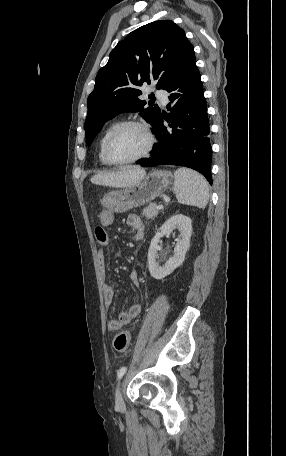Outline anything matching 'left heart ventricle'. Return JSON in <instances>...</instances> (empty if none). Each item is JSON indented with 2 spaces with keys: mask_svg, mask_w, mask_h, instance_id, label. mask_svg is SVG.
<instances>
[{
  "mask_svg": "<svg viewBox=\"0 0 286 456\" xmlns=\"http://www.w3.org/2000/svg\"><path fill=\"white\" fill-rule=\"evenodd\" d=\"M147 137L139 127L122 130L112 141L110 153L115 160H129L142 154L147 146Z\"/></svg>",
  "mask_w": 286,
  "mask_h": 456,
  "instance_id": "left-heart-ventricle-1",
  "label": "left heart ventricle"
}]
</instances>
